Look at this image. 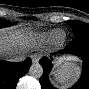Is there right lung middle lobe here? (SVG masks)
Returning a JSON list of instances; mask_svg holds the SVG:
<instances>
[{
  "mask_svg": "<svg viewBox=\"0 0 89 89\" xmlns=\"http://www.w3.org/2000/svg\"><path fill=\"white\" fill-rule=\"evenodd\" d=\"M11 25H12V23H10L7 20H0V28H2V27H8V26H11Z\"/></svg>",
  "mask_w": 89,
  "mask_h": 89,
  "instance_id": "1",
  "label": "right lung middle lobe"
}]
</instances>
